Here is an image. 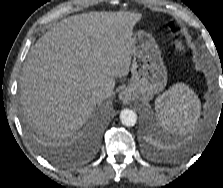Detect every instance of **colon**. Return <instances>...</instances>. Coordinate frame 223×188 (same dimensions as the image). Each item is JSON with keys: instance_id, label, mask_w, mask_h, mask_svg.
Returning a JSON list of instances; mask_svg holds the SVG:
<instances>
[{"instance_id": "1", "label": "colon", "mask_w": 223, "mask_h": 188, "mask_svg": "<svg viewBox=\"0 0 223 188\" xmlns=\"http://www.w3.org/2000/svg\"><path fill=\"white\" fill-rule=\"evenodd\" d=\"M169 30L173 34H177L178 32V26L175 22L169 23ZM176 47L179 51H183L185 49L184 43L181 39H177L176 41Z\"/></svg>"}]
</instances>
